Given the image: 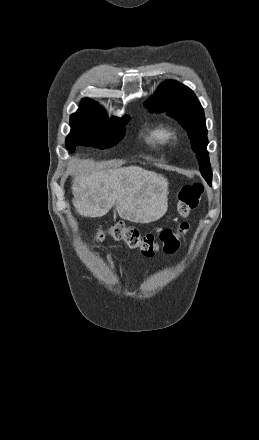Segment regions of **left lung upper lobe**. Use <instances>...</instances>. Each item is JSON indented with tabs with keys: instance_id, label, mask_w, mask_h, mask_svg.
I'll list each match as a JSON object with an SVG mask.
<instances>
[{
	"instance_id": "obj_1",
	"label": "left lung upper lobe",
	"mask_w": 259,
	"mask_h": 440,
	"mask_svg": "<svg viewBox=\"0 0 259 440\" xmlns=\"http://www.w3.org/2000/svg\"><path fill=\"white\" fill-rule=\"evenodd\" d=\"M145 106L155 112L167 111L169 116L183 126L199 161L200 172L211 185L212 173L206 150L208 139L204 110L193 91L176 81H165L145 102Z\"/></svg>"
}]
</instances>
